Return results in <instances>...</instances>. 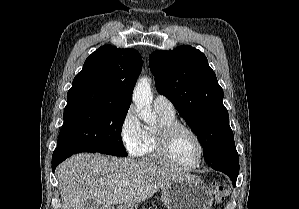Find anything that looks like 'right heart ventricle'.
<instances>
[{
    "mask_svg": "<svg viewBox=\"0 0 299 209\" xmlns=\"http://www.w3.org/2000/svg\"><path fill=\"white\" fill-rule=\"evenodd\" d=\"M157 113L160 118L159 126L178 123L175 114L167 115V114L161 113L159 111H157ZM157 128H152L149 126L144 127V142H143L139 156L145 157V158L153 160V161L160 162L158 156L156 155V151H155V147H156L155 132H156Z\"/></svg>",
    "mask_w": 299,
    "mask_h": 209,
    "instance_id": "obj_1",
    "label": "right heart ventricle"
}]
</instances>
